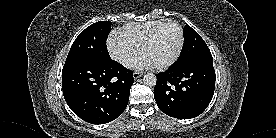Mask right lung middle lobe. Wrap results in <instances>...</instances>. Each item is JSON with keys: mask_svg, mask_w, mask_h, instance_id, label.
Returning a JSON list of instances; mask_svg holds the SVG:
<instances>
[{"mask_svg": "<svg viewBox=\"0 0 276 138\" xmlns=\"http://www.w3.org/2000/svg\"><path fill=\"white\" fill-rule=\"evenodd\" d=\"M111 25L109 21H99L83 30L72 44L66 62L78 58L109 59L106 38Z\"/></svg>", "mask_w": 276, "mask_h": 138, "instance_id": "1", "label": "right lung middle lobe"}]
</instances>
